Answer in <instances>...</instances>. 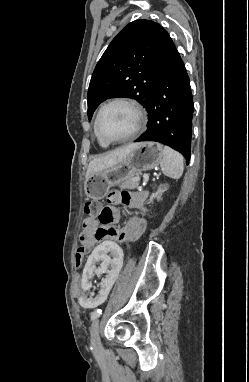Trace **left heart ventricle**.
I'll use <instances>...</instances> for the list:
<instances>
[{
    "instance_id": "1",
    "label": "left heart ventricle",
    "mask_w": 249,
    "mask_h": 382,
    "mask_svg": "<svg viewBox=\"0 0 249 382\" xmlns=\"http://www.w3.org/2000/svg\"><path fill=\"white\" fill-rule=\"evenodd\" d=\"M100 131L105 138L115 139L130 134L135 126V114L123 104L106 108L100 117Z\"/></svg>"
}]
</instances>
